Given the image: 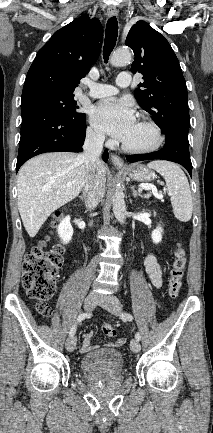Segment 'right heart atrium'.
<instances>
[{"label":"right heart atrium","instance_id":"1","mask_svg":"<svg viewBox=\"0 0 213 433\" xmlns=\"http://www.w3.org/2000/svg\"><path fill=\"white\" fill-rule=\"evenodd\" d=\"M87 136L90 140L94 142H103L104 141V135L101 131H99L96 128L89 127L87 130Z\"/></svg>","mask_w":213,"mask_h":433}]
</instances>
